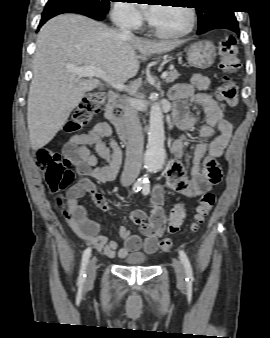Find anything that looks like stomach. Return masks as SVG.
I'll return each mask as SVG.
<instances>
[{
  "mask_svg": "<svg viewBox=\"0 0 270 338\" xmlns=\"http://www.w3.org/2000/svg\"><path fill=\"white\" fill-rule=\"evenodd\" d=\"M215 46L210 41H198L190 45L187 60L190 66L207 69L215 60Z\"/></svg>",
  "mask_w": 270,
  "mask_h": 338,
  "instance_id": "0dacf381",
  "label": "stomach"
}]
</instances>
